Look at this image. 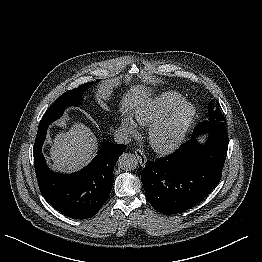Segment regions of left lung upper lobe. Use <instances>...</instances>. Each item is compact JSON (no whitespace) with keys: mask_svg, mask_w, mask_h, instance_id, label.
<instances>
[{"mask_svg":"<svg viewBox=\"0 0 262 262\" xmlns=\"http://www.w3.org/2000/svg\"><path fill=\"white\" fill-rule=\"evenodd\" d=\"M208 120L205 122H199L195 129V134H202L205 132H213L217 131L220 133H227L226 128L224 126V117L219 108H215L213 103L211 102L208 107Z\"/></svg>","mask_w":262,"mask_h":262,"instance_id":"5c2ea615","label":"left lung upper lobe"}]
</instances>
